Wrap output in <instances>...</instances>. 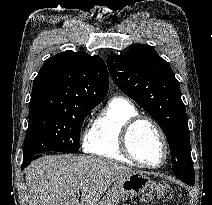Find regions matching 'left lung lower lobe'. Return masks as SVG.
Masks as SVG:
<instances>
[{
    "label": "left lung lower lobe",
    "instance_id": "obj_1",
    "mask_svg": "<svg viewBox=\"0 0 212 205\" xmlns=\"http://www.w3.org/2000/svg\"><path fill=\"white\" fill-rule=\"evenodd\" d=\"M184 183H186L187 185L193 186L194 185V181H188V180H181Z\"/></svg>",
    "mask_w": 212,
    "mask_h": 205
}]
</instances>
